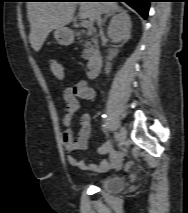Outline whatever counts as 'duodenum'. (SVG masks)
Returning <instances> with one entry per match:
<instances>
[{"label":"duodenum","instance_id":"duodenum-1","mask_svg":"<svg viewBox=\"0 0 188 213\" xmlns=\"http://www.w3.org/2000/svg\"><path fill=\"white\" fill-rule=\"evenodd\" d=\"M103 65V59L100 54L94 53L87 64V76L96 78L99 76Z\"/></svg>","mask_w":188,"mask_h":213}]
</instances>
